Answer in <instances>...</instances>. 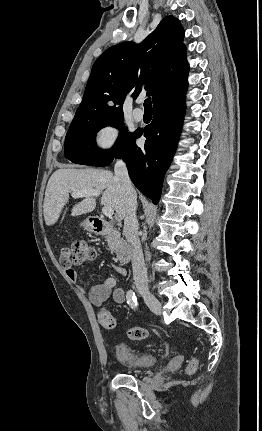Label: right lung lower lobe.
Wrapping results in <instances>:
<instances>
[{
	"mask_svg": "<svg viewBox=\"0 0 262 431\" xmlns=\"http://www.w3.org/2000/svg\"><path fill=\"white\" fill-rule=\"evenodd\" d=\"M185 93L169 98L154 107L152 123L144 131L134 132L121 154L135 186L157 204L163 178L175 153L185 113ZM146 137L144 148L135 144Z\"/></svg>",
	"mask_w": 262,
	"mask_h": 431,
	"instance_id": "1",
	"label": "right lung lower lobe"
}]
</instances>
